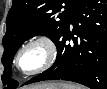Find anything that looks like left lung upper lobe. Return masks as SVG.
<instances>
[{"label": "left lung upper lobe", "instance_id": "1", "mask_svg": "<svg viewBox=\"0 0 107 89\" xmlns=\"http://www.w3.org/2000/svg\"><path fill=\"white\" fill-rule=\"evenodd\" d=\"M81 1L13 0L6 19V34L2 40L4 46L2 63L5 67L2 81L7 89L18 87V82L10 79L11 62L18 48L36 35H46L55 42Z\"/></svg>", "mask_w": 107, "mask_h": 89}]
</instances>
